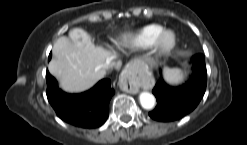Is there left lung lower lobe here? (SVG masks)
<instances>
[{
    "instance_id": "obj_1",
    "label": "left lung lower lobe",
    "mask_w": 247,
    "mask_h": 145,
    "mask_svg": "<svg viewBox=\"0 0 247 145\" xmlns=\"http://www.w3.org/2000/svg\"><path fill=\"white\" fill-rule=\"evenodd\" d=\"M193 75L184 85L173 88L160 79L153 94L157 99V106L149 113L150 117L158 121H173L190 113L200 102L206 90L207 70L203 54L192 58Z\"/></svg>"
}]
</instances>
